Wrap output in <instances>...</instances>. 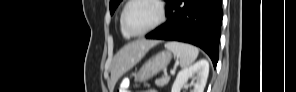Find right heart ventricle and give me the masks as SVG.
Here are the masks:
<instances>
[{
  "mask_svg": "<svg viewBox=\"0 0 296 92\" xmlns=\"http://www.w3.org/2000/svg\"><path fill=\"white\" fill-rule=\"evenodd\" d=\"M120 28H121V32H122L123 36H124L125 38H129L130 35H128V34L123 30L122 25H121V21H120Z\"/></svg>",
  "mask_w": 296,
  "mask_h": 92,
  "instance_id": "right-heart-ventricle-1",
  "label": "right heart ventricle"
}]
</instances>
